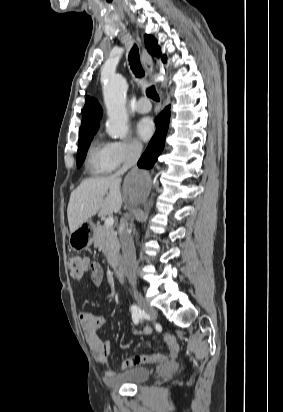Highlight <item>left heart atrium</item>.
<instances>
[{
    "instance_id": "left-heart-atrium-1",
    "label": "left heart atrium",
    "mask_w": 283,
    "mask_h": 412,
    "mask_svg": "<svg viewBox=\"0 0 283 412\" xmlns=\"http://www.w3.org/2000/svg\"><path fill=\"white\" fill-rule=\"evenodd\" d=\"M155 130L154 123L149 118L142 119L137 125V134L143 141H148Z\"/></svg>"
}]
</instances>
